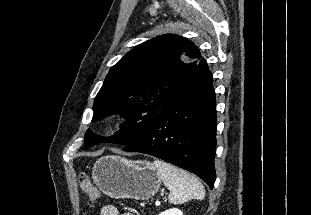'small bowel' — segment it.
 I'll return each instance as SVG.
<instances>
[{"mask_svg":"<svg viewBox=\"0 0 311 215\" xmlns=\"http://www.w3.org/2000/svg\"><path fill=\"white\" fill-rule=\"evenodd\" d=\"M100 215H119V212L116 207L112 205H106L104 206L101 211ZM121 215H133L132 213H123Z\"/></svg>","mask_w":311,"mask_h":215,"instance_id":"1","label":"small bowel"}]
</instances>
